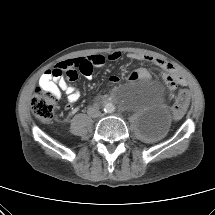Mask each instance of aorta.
Listing matches in <instances>:
<instances>
[{
  "label": "aorta",
  "mask_w": 215,
  "mask_h": 215,
  "mask_svg": "<svg viewBox=\"0 0 215 215\" xmlns=\"http://www.w3.org/2000/svg\"><path fill=\"white\" fill-rule=\"evenodd\" d=\"M104 111L106 113H113L115 111V106L113 103H107L105 106H104Z\"/></svg>",
  "instance_id": "obj_1"
}]
</instances>
